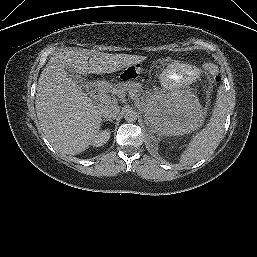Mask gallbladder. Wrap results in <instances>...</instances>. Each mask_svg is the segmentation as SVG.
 <instances>
[{"mask_svg": "<svg viewBox=\"0 0 257 257\" xmlns=\"http://www.w3.org/2000/svg\"><path fill=\"white\" fill-rule=\"evenodd\" d=\"M66 73L81 88L84 89L88 85V81L82 75L78 74L77 72H75V70L68 66L66 67Z\"/></svg>", "mask_w": 257, "mask_h": 257, "instance_id": "bac80fb5", "label": "gallbladder"}]
</instances>
